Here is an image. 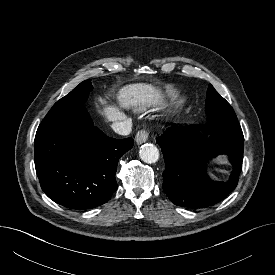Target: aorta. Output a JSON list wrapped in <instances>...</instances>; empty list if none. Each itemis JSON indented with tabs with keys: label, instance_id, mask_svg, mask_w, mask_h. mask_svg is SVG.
I'll list each match as a JSON object with an SVG mask.
<instances>
[{
	"label": "aorta",
	"instance_id": "762f6f07",
	"mask_svg": "<svg viewBox=\"0 0 275 275\" xmlns=\"http://www.w3.org/2000/svg\"><path fill=\"white\" fill-rule=\"evenodd\" d=\"M139 156L145 163H156L159 159V150L155 145L146 143L140 147Z\"/></svg>",
	"mask_w": 275,
	"mask_h": 275
}]
</instances>
